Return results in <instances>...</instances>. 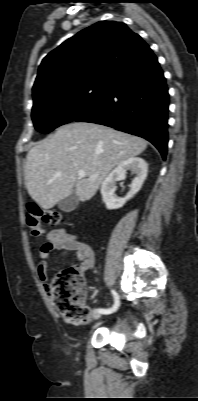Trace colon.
I'll use <instances>...</instances> for the list:
<instances>
[{
    "instance_id": "colon-1",
    "label": "colon",
    "mask_w": 198,
    "mask_h": 401,
    "mask_svg": "<svg viewBox=\"0 0 198 401\" xmlns=\"http://www.w3.org/2000/svg\"><path fill=\"white\" fill-rule=\"evenodd\" d=\"M26 225L34 237L43 233L42 224L57 226L62 223L61 213L43 210L31 203L27 207ZM49 292L54 305L63 319L73 325L86 324L90 319V311L84 306L85 284L83 269L76 266L68 267L59 272L51 281Z\"/></svg>"
}]
</instances>
